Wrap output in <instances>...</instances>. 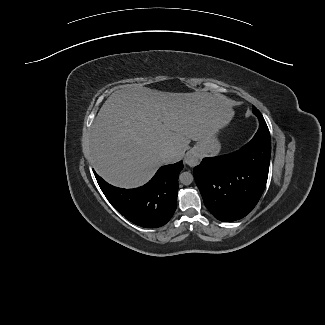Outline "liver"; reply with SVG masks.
<instances>
[{"label":"liver","instance_id":"obj_1","mask_svg":"<svg viewBox=\"0 0 325 325\" xmlns=\"http://www.w3.org/2000/svg\"><path fill=\"white\" fill-rule=\"evenodd\" d=\"M233 117L231 102L206 92L171 93L140 85L113 92L95 118L88 150L108 183L135 188L165 163L164 150L179 161L191 140L214 134Z\"/></svg>","mask_w":325,"mask_h":325}]
</instances>
